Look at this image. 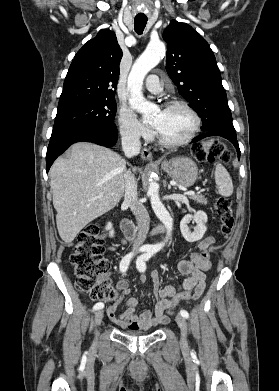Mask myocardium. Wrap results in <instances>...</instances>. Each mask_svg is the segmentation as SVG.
I'll return each instance as SVG.
<instances>
[{
	"mask_svg": "<svg viewBox=\"0 0 279 391\" xmlns=\"http://www.w3.org/2000/svg\"><path fill=\"white\" fill-rule=\"evenodd\" d=\"M173 107L184 108L187 112L190 113V115L193 118L194 123H193V127H192L190 133L184 139L179 140V141H170V140L165 139L162 136V134L157 130V128L154 126V132H155V136H156L158 142L167 148H176V147H180V146L188 144L195 137L196 133L198 132V130L200 129V126H201L200 116L186 101H183V100L168 101L165 103L163 109H169V108H173Z\"/></svg>",
	"mask_w": 279,
	"mask_h": 391,
	"instance_id": "1",
	"label": "myocardium"
}]
</instances>
